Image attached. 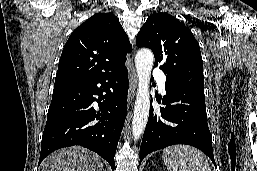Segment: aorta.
<instances>
[{
  "instance_id": "obj_1",
  "label": "aorta",
  "mask_w": 257,
  "mask_h": 171,
  "mask_svg": "<svg viewBox=\"0 0 257 171\" xmlns=\"http://www.w3.org/2000/svg\"><path fill=\"white\" fill-rule=\"evenodd\" d=\"M153 64L154 56L151 50L143 48L137 52L135 65L138 76V92L132 119V134L135 139L144 132L148 121L150 110L149 81Z\"/></svg>"
}]
</instances>
